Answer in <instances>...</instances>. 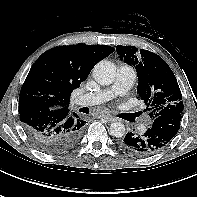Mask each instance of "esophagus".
I'll use <instances>...</instances> for the list:
<instances>
[{
	"label": "esophagus",
	"mask_w": 197,
	"mask_h": 197,
	"mask_svg": "<svg viewBox=\"0 0 197 197\" xmlns=\"http://www.w3.org/2000/svg\"><path fill=\"white\" fill-rule=\"evenodd\" d=\"M101 119H105L106 121L113 122L116 120L114 116H112L109 112H106L105 114H102L99 116Z\"/></svg>",
	"instance_id": "1"
}]
</instances>
